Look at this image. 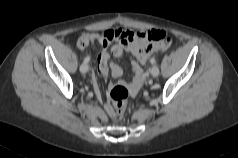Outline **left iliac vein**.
I'll list each match as a JSON object with an SVG mask.
<instances>
[{"label":"left iliac vein","mask_w":238,"mask_h":158,"mask_svg":"<svg viewBox=\"0 0 238 158\" xmlns=\"http://www.w3.org/2000/svg\"><path fill=\"white\" fill-rule=\"evenodd\" d=\"M159 68L157 65H154L151 70H150V73L153 77H157L159 75Z\"/></svg>","instance_id":"left-iliac-vein-1"}]
</instances>
